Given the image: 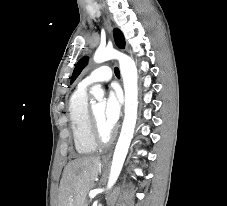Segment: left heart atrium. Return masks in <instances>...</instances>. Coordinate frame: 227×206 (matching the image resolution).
I'll return each mask as SVG.
<instances>
[{"instance_id":"39dd6f15","label":"left heart atrium","mask_w":227,"mask_h":206,"mask_svg":"<svg viewBox=\"0 0 227 206\" xmlns=\"http://www.w3.org/2000/svg\"><path fill=\"white\" fill-rule=\"evenodd\" d=\"M122 98L118 90L109 92L105 108H104V123L111 131L116 125L121 113Z\"/></svg>"}]
</instances>
